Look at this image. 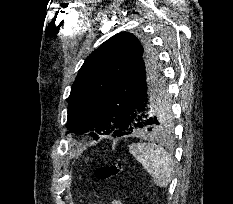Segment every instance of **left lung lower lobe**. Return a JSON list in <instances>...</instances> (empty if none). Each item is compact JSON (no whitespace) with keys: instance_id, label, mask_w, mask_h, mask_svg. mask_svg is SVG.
<instances>
[{"instance_id":"left-lung-lower-lobe-1","label":"left lung lower lobe","mask_w":233,"mask_h":204,"mask_svg":"<svg viewBox=\"0 0 233 204\" xmlns=\"http://www.w3.org/2000/svg\"><path fill=\"white\" fill-rule=\"evenodd\" d=\"M165 89L157 59L144 61L137 69L117 110L116 120L124 132L122 135L160 132L154 113Z\"/></svg>"}]
</instances>
